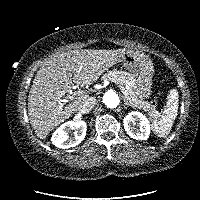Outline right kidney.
<instances>
[{"label":"right kidney","instance_id":"obj_1","mask_svg":"<svg viewBox=\"0 0 200 200\" xmlns=\"http://www.w3.org/2000/svg\"><path fill=\"white\" fill-rule=\"evenodd\" d=\"M74 129H76L74 135L70 136L69 131ZM86 131L87 125L85 121H68L56 129L51 141L53 145L62 149L75 147L84 140Z\"/></svg>","mask_w":200,"mask_h":200}]
</instances>
